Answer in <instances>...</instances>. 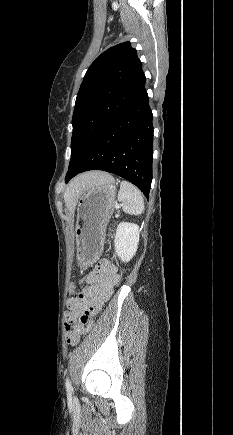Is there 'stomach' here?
<instances>
[{"mask_svg":"<svg viewBox=\"0 0 233 435\" xmlns=\"http://www.w3.org/2000/svg\"><path fill=\"white\" fill-rule=\"evenodd\" d=\"M116 182L108 175L100 184L85 190L77 204L75 236L81 268L92 266L100 257L105 228L115 207Z\"/></svg>","mask_w":233,"mask_h":435,"instance_id":"obj_1","label":"stomach"}]
</instances>
